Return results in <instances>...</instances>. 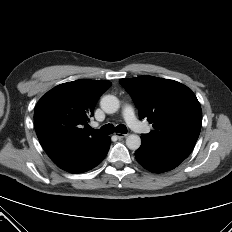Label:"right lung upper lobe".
Here are the masks:
<instances>
[{
	"instance_id": "cb5924a9",
	"label": "right lung upper lobe",
	"mask_w": 232,
	"mask_h": 232,
	"mask_svg": "<svg viewBox=\"0 0 232 232\" xmlns=\"http://www.w3.org/2000/svg\"><path fill=\"white\" fill-rule=\"evenodd\" d=\"M109 81L81 79L54 87L37 103L34 123L37 137L54 163L102 147L108 136L91 135L87 125Z\"/></svg>"
}]
</instances>
